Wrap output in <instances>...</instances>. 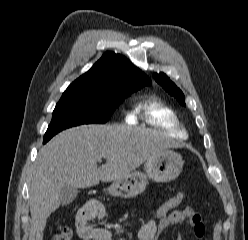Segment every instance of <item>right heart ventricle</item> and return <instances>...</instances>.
<instances>
[{
  "label": "right heart ventricle",
  "instance_id": "1",
  "mask_svg": "<svg viewBox=\"0 0 248 240\" xmlns=\"http://www.w3.org/2000/svg\"><path fill=\"white\" fill-rule=\"evenodd\" d=\"M134 113H142L148 125L161 128L175 138L187 137V132L180 124L175 111L158 100L149 99L137 103Z\"/></svg>",
  "mask_w": 248,
  "mask_h": 240
}]
</instances>
